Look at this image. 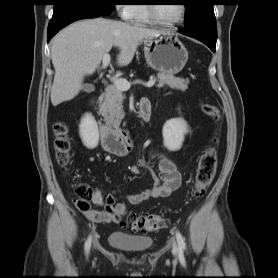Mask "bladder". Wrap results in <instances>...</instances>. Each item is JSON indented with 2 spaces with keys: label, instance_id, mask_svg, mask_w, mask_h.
I'll list each match as a JSON object with an SVG mask.
<instances>
[{
  "label": "bladder",
  "instance_id": "31cf9c89",
  "mask_svg": "<svg viewBox=\"0 0 278 278\" xmlns=\"http://www.w3.org/2000/svg\"><path fill=\"white\" fill-rule=\"evenodd\" d=\"M108 243L111 247L128 252H143L148 250L153 240L149 236L130 235L120 231L112 232L108 237Z\"/></svg>",
  "mask_w": 278,
  "mask_h": 278
}]
</instances>
